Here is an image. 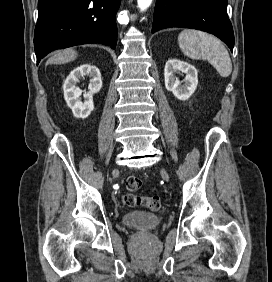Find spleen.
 Masks as SVG:
<instances>
[{"label":"spleen","instance_id":"obj_1","mask_svg":"<svg viewBox=\"0 0 272 282\" xmlns=\"http://www.w3.org/2000/svg\"><path fill=\"white\" fill-rule=\"evenodd\" d=\"M183 54L191 59H207L221 77L232 72V63L228 51L220 40L205 32L185 29L178 36Z\"/></svg>","mask_w":272,"mask_h":282}]
</instances>
